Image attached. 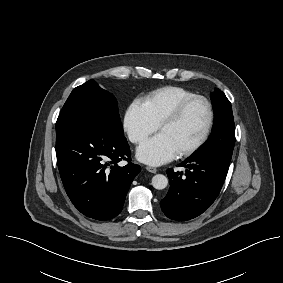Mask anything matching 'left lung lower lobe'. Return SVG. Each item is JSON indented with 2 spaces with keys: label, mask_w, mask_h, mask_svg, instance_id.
<instances>
[{
  "label": "left lung lower lobe",
  "mask_w": 283,
  "mask_h": 283,
  "mask_svg": "<svg viewBox=\"0 0 283 283\" xmlns=\"http://www.w3.org/2000/svg\"><path fill=\"white\" fill-rule=\"evenodd\" d=\"M230 161L217 154H195L181 164L185 174L168 169L170 188L160 202L164 214L179 221L202 214L217 198Z\"/></svg>",
  "instance_id": "obj_1"
}]
</instances>
